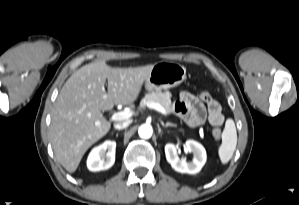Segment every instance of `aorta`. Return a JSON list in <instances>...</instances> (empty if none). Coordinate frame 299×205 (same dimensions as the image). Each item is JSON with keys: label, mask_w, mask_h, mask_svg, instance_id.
<instances>
[{"label": "aorta", "mask_w": 299, "mask_h": 205, "mask_svg": "<svg viewBox=\"0 0 299 205\" xmlns=\"http://www.w3.org/2000/svg\"><path fill=\"white\" fill-rule=\"evenodd\" d=\"M138 134L141 138L148 139L153 134L152 126L149 124H143L139 127Z\"/></svg>", "instance_id": "762f6f07"}]
</instances>
